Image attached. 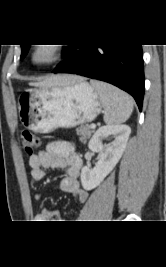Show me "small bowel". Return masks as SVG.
Masks as SVG:
<instances>
[{"label":"small bowel","instance_id":"c3829d8e","mask_svg":"<svg viewBox=\"0 0 166 267\" xmlns=\"http://www.w3.org/2000/svg\"><path fill=\"white\" fill-rule=\"evenodd\" d=\"M29 165L31 177L34 181H41L47 169H65L66 176L63 178L59 189L76 197L81 203L87 199V193L81 188L80 173L82 169V159L75 151L74 146L66 141H53L45 149L30 156ZM41 198V193L36 194V199ZM38 222L46 220H57L60 222L58 211L43 209L36 215Z\"/></svg>","mask_w":166,"mask_h":267}]
</instances>
